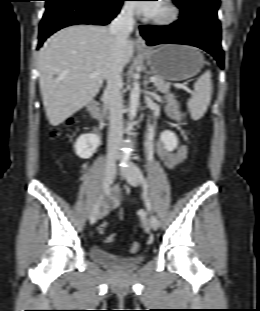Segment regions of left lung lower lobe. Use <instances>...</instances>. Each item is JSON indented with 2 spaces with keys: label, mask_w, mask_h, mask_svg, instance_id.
<instances>
[{
  "label": "left lung lower lobe",
  "mask_w": 260,
  "mask_h": 311,
  "mask_svg": "<svg viewBox=\"0 0 260 311\" xmlns=\"http://www.w3.org/2000/svg\"><path fill=\"white\" fill-rule=\"evenodd\" d=\"M147 45L186 44L201 48L224 66V53L221 49L220 23L202 15L181 16L169 26H140Z\"/></svg>",
  "instance_id": "1"
}]
</instances>
